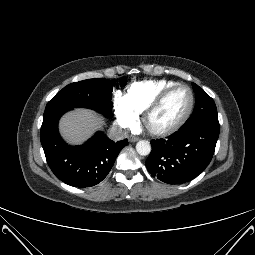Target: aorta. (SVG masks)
<instances>
[{
  "mask_svg": "<svg viewBox=\"0 0 255 255\" xmlns=\"http://www.w3.org/2000/svg\"><path fill=\"white\" fill-rule=\"evenodd\" d=\"M136 151L141 156L149 155L151 152V145L146 140H140L136 144Z\"/></svg>",
  "mask_w": 255,
  "mask_h": 255,
  "instance_id": "aorta-1",
  "label": "aorta"
}]
</instances>
